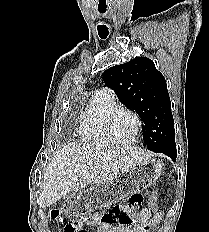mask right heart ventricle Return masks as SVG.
Here are the masks:
<instances>
[{
	"instance_id": "1",
	"label": "right heart ventricle",
	"mask_w": 209,
	"mask_h": 232,
	"mask_svg": "<svg viewBox=\"0 0 209 232\" xmlns=\"http://www.w3.org/2000/svg\"><path fill=\"white\" fill-rule=\"evenodd\" d=\"M118 107L114 96L107 89L96 91L80 117L79 133L81 138L94 146L111 145L112 143L105 133V122L108 114Z\"/></svg>"
}]
</instances>
